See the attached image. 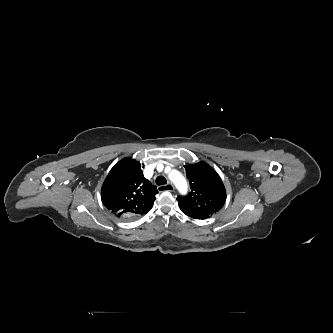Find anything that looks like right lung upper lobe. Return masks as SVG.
I'll return each instance as SVG.
<instances>
[{"label":"right lung upper lobe","mask_w":333,"mask_h":333,"mask_svg":"<svg viewBox=\"0 0 333 333\" xmlns=\"http://www.w3.org/2000/svg\"><path fill=\"white\" fill-rule=\"evenodd\" d=\"M156 186L144 176L141 164L131 158L119 161L109 172L102 189L104 206L117 217L146 214L153 206Z\"/></svg>","instance_id":"right-lung-upper-lobe-1"}]
</instances>
